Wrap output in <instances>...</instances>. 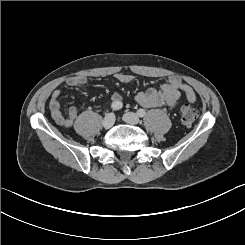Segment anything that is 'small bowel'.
<instances>
[{"mask_svg": "<svg viewBox=\"0 0 245 245\" xmlns=\"http://www.w3.org/2000/svg\"><path fill=\"white\" fill-rule=\"evenodd\" d=\"M115 78L120 83L124 84L130 83L134 79L132 75L127 73H117L115 74ZM66 83L70 87L84 88L87 79L85 76H72L66 80ZM181 92L185 93L186 98L190 102L196 100V95L190 86L185 84L179 77L170 76L160 89L147 88L139 91L135 96V100L141 106L146 108L166 106L173 109L179 103ZM111 102H121V95L119 93H113L111 95ZM49 108L52 119L62 127L73 126L78 117V112L75 107H70L66 114L61 112L60 89L53 91L49 102Z\"/></svg>", "mask_w": 245, "mask_h": 245, "instance_id": "small-bowel-1", "label": "small bowel"}]
</instances>
